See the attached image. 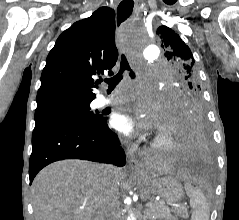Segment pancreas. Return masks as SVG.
Returning <instances> with one entry per match:
<instances>
[{"label":"pancreas","instance_id":"1","mask_svg":"<svg viewBox=\"0 0 239 220\" xmlns=\"http://www.w3.org/2000/svg\"><path fill=\"white\" fill-rule=\"evenodd\" d=\"M171 212L183 218L188 217L187 209L182 205L171 211L163 201H154L147 207L143 218L144 220L166 219L171 217Z\"/></svg>","mask_w":239,"mask_h":220}]
</instances>
